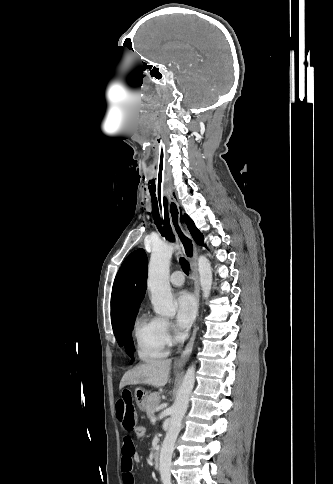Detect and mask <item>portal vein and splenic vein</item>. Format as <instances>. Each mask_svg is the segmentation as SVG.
<instances>
[{"label":"portal vein and splenic vein","mask_w":333,"mask_h":484,"mask_svg":"<svg viewBox=\"0 0 333 484\" xmlns=\"http://www.w3.org/2000/svg\"><path fill=\"white\" fill-rule=\"evenodd\" d=\"M150 420H151V422H155L156 421V417H152Z\"/></svg>","instance_id":"1"}]
</instances>
